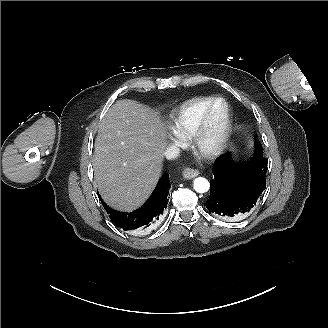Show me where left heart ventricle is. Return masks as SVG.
Masks as SVG:
<instances>
[{
	"instance_id": "obj_1",
	"label": "left heart ventricle",
	"mask_w": 328,
	"mask_h": 328,
	"mask_svg": "<svg viewBox=\"0 0 328 328\" xmlns=\"http://www.w3.org/2000/svg\"><path fill=\"white\" fill-rule=\"evenodd\" d=\"M224 123V109L220 106L216 111H214L207 120L208 133L206 136L207 145H211L219 131L221 130Z\"/></svg>"
}]
</instances>
